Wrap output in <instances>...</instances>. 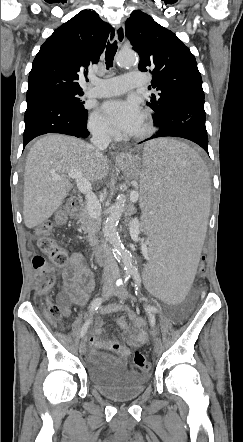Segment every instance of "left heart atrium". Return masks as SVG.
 <instances>
[{
	"instance_id": "39dd6f15",
	"label": "left heart atrium",
	"mask_w": 243,
	"mask_h": 442,
	"mask_svg": "<svg viewBox=\"0 0 243 442\" xmlns=\"http://www.w3.org/2000/svg\"><path fill=\"white\" fill-rule=\"evenodd\" d=\"M107 121L118 131L131 135L140 123L143 113L134 99L109 100L102 106Z\"/></svg>"
}]
</instances>
